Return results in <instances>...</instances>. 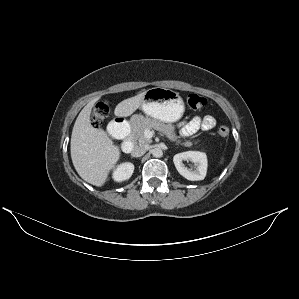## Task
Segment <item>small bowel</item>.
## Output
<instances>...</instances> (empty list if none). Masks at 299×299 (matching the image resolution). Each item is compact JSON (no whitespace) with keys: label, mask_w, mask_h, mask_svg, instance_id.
<instances>
[{"label":"small bowel","mask_w":299,"mask_h":299,"mask_svg":"<svg viewBox=\"0 0 299 299\" xmlns=\"http://www.w3.org/2000/svg\"><path fill=\"white\" fill-rule=\"evenodd\" d=\"M215 125V118L211 115L204 117H195L188 123H184L180 126V134L182 136H190L197 132L199 129L210 130Z\"/></svg>","instance_id":"obj_1"}]
</instances>
